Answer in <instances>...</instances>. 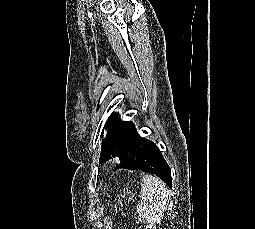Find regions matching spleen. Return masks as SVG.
Masks as SVG:
<instances>
[{
	"label": "spleen",
	"mask_w": 255,
	"mask_h": 229,
	"mask_svg": "<svg viewBox=\"0 0 255 229\" xmlns=\"http://www.w3.org/2000/svg\"><path fill=\"white\" fill-rule=\"evenodd\" d=\"M141 200L136 210L139 216L148 223L155 224L161 221L168 200L166 185L157 177L145 175L142 178Z\"/></svg>",
	"instance_id": "3e777b00"
}]
</instances>
